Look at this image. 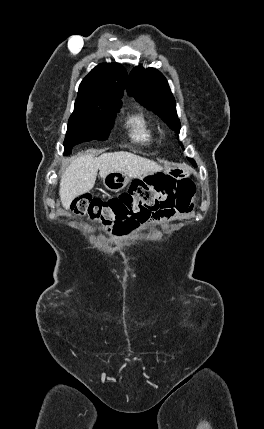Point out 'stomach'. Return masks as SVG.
<instances>
[{
  "mask_svg": "<svg viewBox=\"0 0 264 429\" xmlns=\"http://www.w3.org/2000/svg\"><path fill=\"white\" fill-rule=\"evenodd\" d=\"M161 175H167L169 177H172L174 179H182L187 178L191 175V170L187 166L184 165H176L164 172H148L143 174L140 178L141 180H153L155 178H158ZM129 182H131V178L126 176L124 173L119 171H114L108 173L106 176L103 177V185L104 187L112 192H119L122 189H124Z\"/></svg>",
  "mask_w": 264,
  "mask_h": 429,
  "instance_id": "obj_1",
  "label": "stomach"
}]
</instances>
